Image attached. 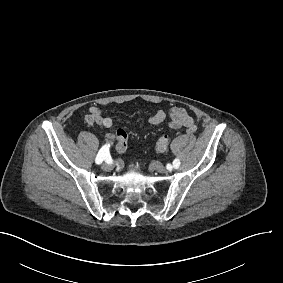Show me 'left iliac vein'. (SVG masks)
<instances>
[{"mask_svg": "<svg viewBox=\"0 0 283 283\" xmlns=\"http://www.w3.org/2000/svg\"><path fill=\"white\" fill-rule=\"evenodd\" d=\"M155 169H156L157 171H159V172H162V171L165 170L164 166L161 165V164L158 163V162L155 163Z\"/></svg>", "mask_w": 283, "mask_h": 283, "instance_id": "obj_1", "label": "left iliac vein"}]
</instances>
